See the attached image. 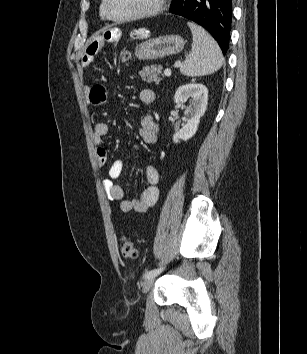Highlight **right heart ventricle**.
Here are the masks:
<instances>
[{"mask_svg":"<svg viewBox=\"0 0 307 354\" xmlns=\"http://www.w3.org/2000/svg\"><path fill=\"white\" fill-rule=\"evenodd\" d=\"M99 10H100V16L102 19H107V15L105 13V10H104V6H103V0L101 1L100 3V7H99Z\"/></svg>","mask_w":307,"mask_h":354,"instance_id":"obj_1","label":"right heart ventricle"}]
</instances>
